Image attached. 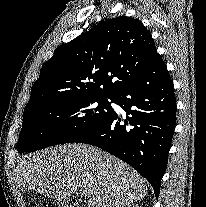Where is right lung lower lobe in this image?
Here are the masks:
<instances>
[{
	"label": "right lung lower lobe",
	"mask_w": 206,
	"mask_h": 207,
	"mask_svg": "<svg viewBox=\"0 0 206 207\" xmlns=\"http://www.w3.org/2000/svg\"><path fill=\"white\" fill-rule=\"evenodd\" d=\"M114 103L126 112L125 119L113 111L75 142L97 146L131 165L158 198L176 124L174 86L162 58L122 87Z\"/></svg>",
	"instance_id": "1"
}]
</instances>
